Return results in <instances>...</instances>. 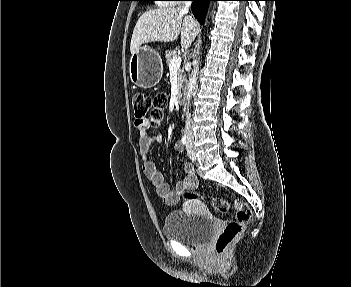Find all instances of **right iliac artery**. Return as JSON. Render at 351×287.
Wrapping results in <instances>:
<instances>
[{
	"mask_svg": "<svg viewBox=\"0 0 351 287\" xmlns=\"http://www.w3.org/2000/svg\"><path fill=\"white\" fill-rule=\"evenodd\" d=\"M181 142H182L183 145H186V146H187V136H186V134H184V135L182 136Z\"/></svg>",
	"mask_w": 351,
	"mask_h": 287,
	"instance_id": "82829eb1",
	"label": "right iliac artery"
}]
</instances>
